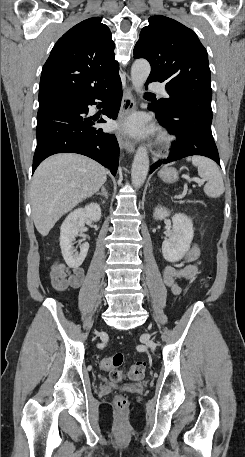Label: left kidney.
Listing matches in <instances>:
<instances>
[{
    "mask_svg": "<svg viewBox=\"0 0 245 457\" xmlns=\"http://www.w3.org/2000/svg\"><path fill=\"white\" fill-rule=\"evenodd\" d=\"M165 216H170V210L164 206H156L154 210V218L162 220ZM172 218V231L169 239H165L162 243V255L165 261L169 263H178L183 259L185 253L189 251L190 245L193 241L194 231L192 218L177 212L173 214Z\"/></svg>",
    "mask_w": 245,
    "mask_h": 457,
    "instance_id": "5707ae66",
    "label": "left kidney"
}]
</instances>
